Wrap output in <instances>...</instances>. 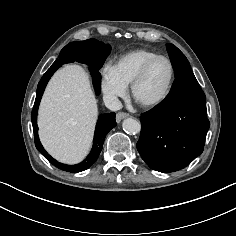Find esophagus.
<instances>
[{"label": "esophagus", "instance_id": "34e87169", "mask_svg": "<svg viewBox=\"0 0 236 236\" xmlns=\"http://www.w3.org/2000/svg\"><path fill=\"white\" fill-rule=\"evenodd\" d=\"M128 116H129L128 113H125V112H118V113L116 114V122H117V123H120L122 119H124V118H126V117H128Z\"/></svg>", "mask_w": 236, "mask_h": 236}]
</instances>
